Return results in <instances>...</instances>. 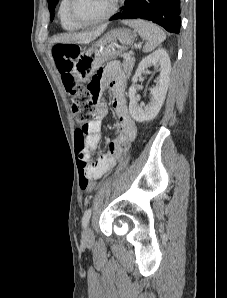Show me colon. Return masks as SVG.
Returning <instances> with one entry per match:
<instances>
[{
    "label": "colon",
    "mask_w": 227,
    "mask_h": 298,
    "mask_svg": "<svg viewBox=\"0 0 227 298\" xmlns=\"http://www.w3.org/2000/svg\"><path fill=\"white\" fill-rule=\"evenodd\" d=\"M80 54V47L74 43H58L53 48V57L55 59L57 68L61 73L62 81L66 92L71 97V109L76 122L80 127L76 130L75 134V148L77 152L78 162L81 166L79 174V183L81 189L90 191L94 189L95 183L86 172L91 163L85 157L86 149V130L82 129L83 125L91 123L90 118H96L95 103H90L87 89H82L74 80L71 72L74 67V62ZM88 88V87H87Z\"/></svg>",
    "instance_id": "5ec220e1"
}]
</instances>
